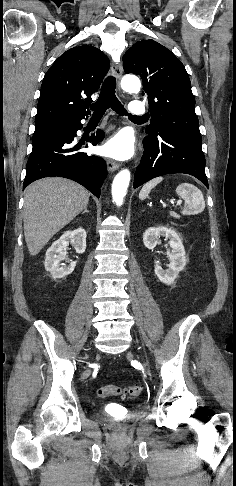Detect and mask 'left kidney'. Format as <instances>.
Here are the masks:
<instances>
[{"label":"left kidney","instance_id":"left-kidney-1","mask_svg":"<svg viewBox=\"0 0 236 486\" xmlns=\"http://www.w3.org/2000/svg\"><path fill=\"white\" fill-rule=\"evenodd\" d=\"M163 236L169 238V245L171 247V252L168 250L167 255L170 259L168 269L163 270L159 265L158 261H155V275L158 279L166 284L171 285L174 283L180 271H182L187 263V258L185 256V249L182 240L178 233L171 228L167 227H150L143 235V242L146 248L153 250L158 239Z\"/></svg>","mask_w":236,"mask_h":486}]
</instances>
